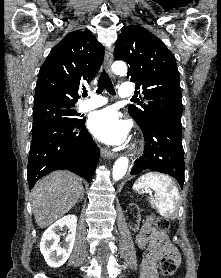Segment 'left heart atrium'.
<instances>
[{
	"label": "left heart atrium",
	"instance_id": "obj_1",
	"mask_svg": "<svg viewBox=\"0 0 221 278\" xmlns=\"http://www.w3.org/2000/svg\"><path fill=\"white\" fill-rule=\"evenodd\" d=\"M89 130L99 140L108 144L122 143L128 134V126L117 112L106 108L93 113L88 122Z\"/></svg>",
	"mask_w": 221,
	"mask_h": 278
}]
</instances>
